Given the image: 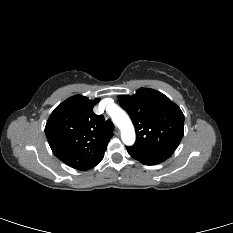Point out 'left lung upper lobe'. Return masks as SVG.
I'll list each match as a JSON object with an SVG mask.
<instances>
[{
    "label": "left lung upper lobe",
    "mask_w": 233,
    "mask_h": 233,
    "mask_svg": "<svg viewBox=\"0 0 233 233\" xmlns=\"http://www.w3.org/2000/svg\"><path fill=\"white\" fill-rule=\"evenodd\" d=\"M118 99L135 126L134 147L174 152L184 132V115L175 103L150 88H140L135 95Z\"/></svg>",
    "instance_id": "left-lung-upper-lobe-1"
}]
</instances>
